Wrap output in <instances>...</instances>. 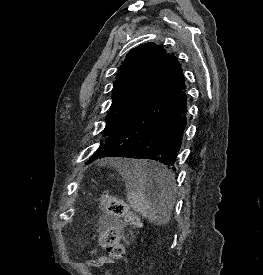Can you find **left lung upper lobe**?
Listing matches in <instances>:
<instances>
[{
    "instance_id": "left-lung-upper-lobe-1",
    "label": "left lung upper lobe",
    "mask_w": 263,
    "mask_h": 275,
    "mask_svg": "<svg viewBox=\"0 0 263 275\" xmlns=\"http://www.w3.org/2000/svg\"><path fill=\"white\" fill-rule=\"evenodd\" d=\"M174 60L173 54L152 42L141 44L127 53L113 83L112 104L105 118L106 126L103 131L105 136L110 137L119 130L160 82ZM102 147L101 142L87 163L101 152Z\"/></svg>"
}]
</instances>
